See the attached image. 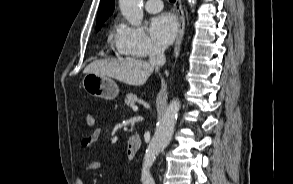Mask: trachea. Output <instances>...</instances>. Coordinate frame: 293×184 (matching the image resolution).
Returning a JSON list of instances; mask_svg holds the SVG:
<instances>
[{
	"instance_id": "obj_1",
	"label": "trachea",
	"mask_w": 293,
	"mask_h": 184,
	"mask_svg": "<svg viewBox=\"0 0 293 184\" xmlns=\"http://www.w3.org/2000/svg\"><path fill=\"white\" fill-rule=\"evenodd\" d=\"M170 2H175L176 0H169Z\"/></svg>"
}]
</instances>
